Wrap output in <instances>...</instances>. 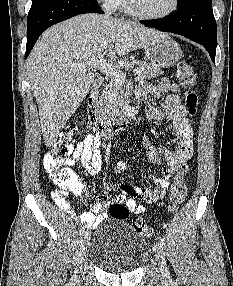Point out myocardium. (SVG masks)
Segmentation results:
<instances>
[{
	"label": "myocardium",
	"mask_w": 233,
	"mask_h": 286,
	"mask_svg": "<svg viewBox=\"0 0 233 286\" xmlns=\"http://www.w3.org/2000/svg\"><path fill=\"white\" fill-rule=\"evenodd\" d=\"M128 6L131 10V12L143 19H147V20H161V19H165L171 15H173L178 7H179V0H173L172 3V7L165 13L163 14H159V15H152V14H148L146 12H144L138 5L136 0H127Z\"/></svg>",
	"instance_id": "myocardium-1"
}]
</instances>
